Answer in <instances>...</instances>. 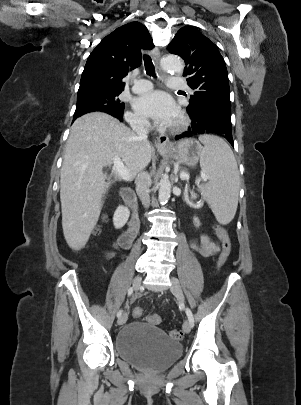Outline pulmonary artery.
Segmentation results:
<instances>
[{
    "instance_id": "e3ab8cb5",
    "label": "pulmonary artery",
    "mask_w": 301,
    "mask_h": 405,
    "mask_svg": "<svg viewBox=\"0 0 301 405\" xmlns=\"http://www.w3.org/2000/svg\"><path fill=\"white\" fill-rule=\"evenodd\" d=\"M168 86L175 90L187 89L188 85L185 80L180 77L172 76L168 79ZM152 83L145 79H136L132 87L135 93H144L152 89Z\"/></svg>"
}]
</instances>
